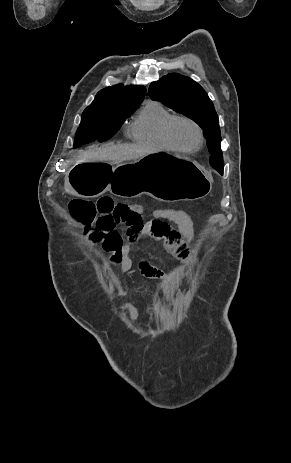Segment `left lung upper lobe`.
I'll use <instances>...</instances> for the list:
<instances>
[{
  "label": "left lung upper lobe",
  "instance_id": "1",
  "mask_svg": "<svg viewBox=\"0 0 291 463\" xmlns=\"http://www.w3.org/2000/svg\"><path fill=\"white\" fill-rule=\"evenodd\" d=\"M148 95L153 100L161 101L174 111L193 119L203 129L208 140L212 154L211 166L218 172L223 170L219 119L204 89L188 77L171 73L152 82Z\"/></svg>",
  "mask_w": 291,
  "mask_h": 463
}]
</instances>
